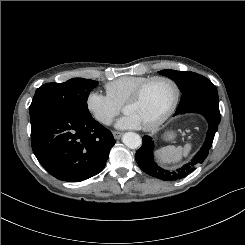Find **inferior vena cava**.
<instances>
[{"mask_svg":"<svg viewBox=\"0 0 245 245\" xmlns=\"http://www.w3.org/2000/svg\"><path fill=\"white\" fill-rule=\"evenodd\" d=\"M111 122H112V120H111V119H108V120H106V122H105V123H106L107 125H110V124H111Z\"/></svg>","mask_w":245,"mask_h":245,"instance_id":"obj_1","label":"inferior vena cava"}]
</instances>
